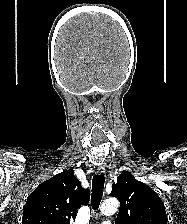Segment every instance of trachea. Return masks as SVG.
I'll use <instances>...</instances> for the list:
<instances>
[{
	"instance_id": "trachea-1",
	"label": "trachea",
	"mask_w": 187,
	"mask_h": 224,
	"mask_svg": "<svg viewBox=\"0 0 187 224\" xmlns=\"http://www.w3.org/2000/svg\"><path fill=\"white\" fill-rule=\"evenodd\" d=\"M104 182L105 178L102 174L93 176L91 203L94 210L98 209L100 205L103 196Z\"/></svg>"
}]
</instances>
